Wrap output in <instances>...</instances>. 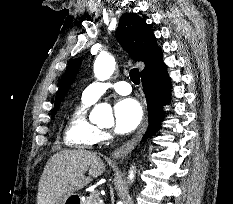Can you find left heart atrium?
Segmentation results:
<instances>
[{
	"mask_svg": "<svg viewBox=\"0 0 233 204\" xmlns=\"http://www.w3.org/2000/svg\"><path fill=\"white\" fill-rule=\"evenodd\" d=\"M143 117L139 102L133 98L119 100L114 106L115 131L127 134L138 127Z\"/></svg>",
	"mask_w": 233,
	"mask_h": 204,
	"instance_id": "39dd6f15",
	"label": "left heart atrium"
}]
</instances>
